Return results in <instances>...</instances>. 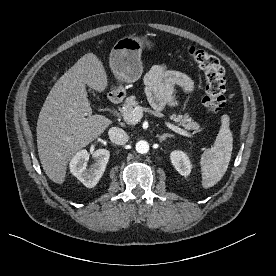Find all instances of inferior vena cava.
Returning <instances> with one entry per match:
<instances>
[{"mask_svg": "<svg viewBox=\"0 0 276 276\" xmlns=\"http://www.w3.org/2000/svg\"><path fill=\"white\" fill-rule=\"evenodd\" d=\"M108 135L113 143L119 145H124L129 139L127 133L119 127L110 128L108 131Z\"/></svg>", "mask_w": 276, "mask_h": 276, "instance_id": "1", "label": "inferior vena cava"}]
</instances>
